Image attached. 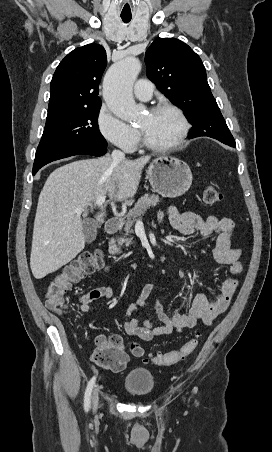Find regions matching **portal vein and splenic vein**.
Instances as JSON below:
<instances>
[{
	"instance_id": "portal-vein-and-splenic-vein-1",
	"label": "portal vein and splenic vein",
	"mask_w": 272,
	"mask_h": 452,
	"mask_svg": "<svg viewBox=\"0 0 272 452\" xmlns=\"http://www.w3.org/2000/svg\"><path fill=\"white\" fill-rule=\"evenodd\" d=\"M105 199H106V196H105V195L99 196V197L96 199L94 205H95V206L102 207V206L104 205V203H105ZM90 206H92V205H90ZM83 210H84L83 207H81V208H76V209H75V211L78 212V213H79V212H82Z\"/></svg>"
}]
</instances>
